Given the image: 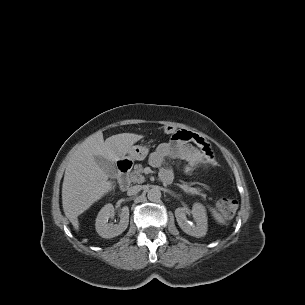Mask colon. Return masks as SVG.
I'll list each match as a JSON object with an SVG mask.
<instances>
[{"mask_svg":"<svg viewBox=\"0 0 305 305\" xmlns=\"http://www.w3.org/2000/svg\"><path fill=\"white\" fill-rule=\"evenodd\" d=\"M163 131L166 134H172L173 137H183L184 136L182 131L177 130L173 126H165L163 128ZM217 206H218V209L220 210V212L224 216L230 218V217L234 216V214L236 213V211L238 209V201L235 198L224 196L219 199Z\"/></svg>","mask_w":305,"mask_h":305,"instance_id":"1","label":"colon"}]
</instances>
